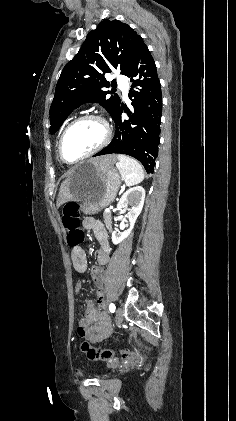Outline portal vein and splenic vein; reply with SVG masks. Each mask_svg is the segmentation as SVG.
<instances>
[{
	"label": "portal vein and splenic vein",
	"instance_id": "18ae733b",
	"mask_svg": "<svg viewBox=\"0 0 236 421\" xmlns=\"http://www.w3.org/2000/svg\"><path fill=\"white\" fill-rule=\"evenodd\" d=\"M105 213H110V208H105Z\"/></svg>",
	"mask_w": 236,
	"mask_h": 421
}]
</instances>
